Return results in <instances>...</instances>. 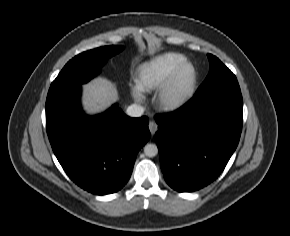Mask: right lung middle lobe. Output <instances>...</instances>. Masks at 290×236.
Masks as SVG:
<instances>
[{
  "instance_id": "1",
  "label": "right lung middle lobe",
  "mask_w": 290,
  "mask_h": 236,
  "mask_svg": "<svg viewBox=\"0 0 290 236\" xmlns=\"http://www.w3.org/2000/svg\"><path fill=\"white\" fill-rule=\"evenodd\" d=\"M123 49L122 46H105L83 52L71 59L61 70L50 88L83 84L100 72L107 59Z\"/></svg>"
}]
</instances>
